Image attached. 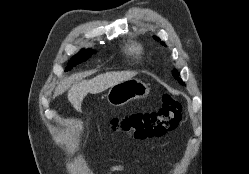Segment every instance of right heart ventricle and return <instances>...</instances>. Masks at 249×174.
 I'll return each instance as SVG.
<instances>
[{
	"mask_svg": "<svg viewBox=\"0 0 249 174\" xmlns=\"http://www.w3.org/2000/svg\"><path fill=\"white\" fill-rule=\"evenodd\" d=\"M129 50L134 55H139L141 53L140 47L136 45L131 46Z\"/></svg>",
	"mask_w": 249,
	"mask_h": 174,
	"instance_id": "e07e8e85",
	"label": "right heart ventricle"
}]
</instances>
